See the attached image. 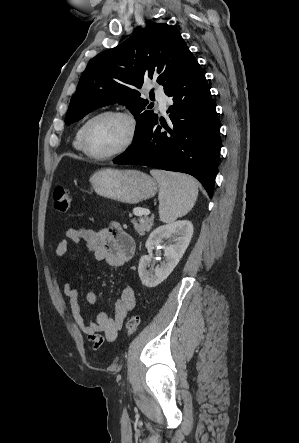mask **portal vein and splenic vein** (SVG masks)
<instances>
[{"mask_svg":"<svg viewBox=\"0 0 299 443\" xmlns=\"http://www.w3.org/2000/svg\"><path fill=\"white\" fill-rule=\"evenodd\" d=\"M140 214L149 215L150 211L149 210H142L141 212H139V215Z\"/></svg>","mask_w":299,"mask_h":443,"instance_id":"portal-vein-and-splenic-vein-1","label":"portal vein and splenic vein"}]
</instances>
